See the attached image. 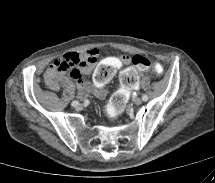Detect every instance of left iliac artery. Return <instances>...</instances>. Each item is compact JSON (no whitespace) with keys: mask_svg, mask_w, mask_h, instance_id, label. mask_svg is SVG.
Masks as SVG:
<instances>
[{"mask_svg":"<svg viewBox=\"0 0 215 183\" xmlns=\"http://www.w3.org/2000/svg\"><path fill=\"white\" fill-rule=\"evenodd\" d=\"M142 100H143V101H147V100H148V96H147L146 94L143 95V96H142Z\"/></svg>","mask_w":215,"mask_h":183,"instance_id":"obj_1","label":"left iliac artery"}]
</instances>
